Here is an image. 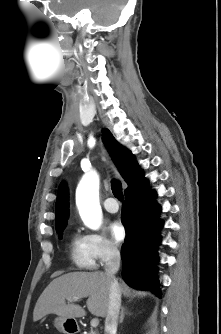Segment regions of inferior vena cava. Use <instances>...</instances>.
I'll use <instances>...</instances> for the list:
<instances>
[{
  "mask_svg": "<svg viewBox=\"0 0 221 334\" xmlns=\"http://www.w3.org/2000/svg\"><path fill=\"white\" fill-rule=\"evenodd\" d=\"M120 267V252L117 247L109 246L107 250V261L105 264V274L110 279L109 305L105 319L106 334H116L118 315L121 306V288L115 278V274Z\"/></svg>",
  "mask_w": 221,
  "mask_h": 334,
  "instance_id": "1",
  "label": "inferior vena cava"
}]
</instances>
